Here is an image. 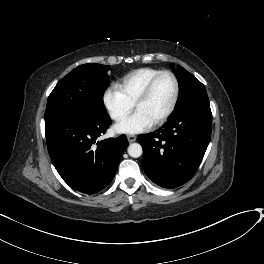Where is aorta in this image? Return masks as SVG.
<instances>
[{
    "mask_svg": "<svg viewBox=\"0 0 264 264\" xmlns=\"http://www.w3.org/2000/svg\"><path fill=\"white\" fill-rule=\"evenodd\" d=\"M128 154L133 158H138L142 155V147L138 143H132L128 147Z\"/></svg>",
    "mask_w": 264,
    "mask_h": 264,
    "instance_id": "aorta-1",
    "label": "aorta"
}]
</instances>
